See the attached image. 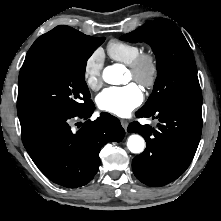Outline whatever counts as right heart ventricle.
Wrapping results in <instances>:
<instances>
[{
	"instance_id": "e07e8e85",
	"label": "right heart ventricle",
	"mask_w": 221,
	"mask_h": 221,
	"mask_svg": "<svg viewBox=\"0 0 221 221\" xmlns=\"http://www.w3.org/2000/svg\"><path fill=\"white\" fill-rule=\"evenodd\" d=\"M107 52L113 60L130 65L141 48L137 44L114 39L107 44Z\"/></svg>"
}]
</instances>
